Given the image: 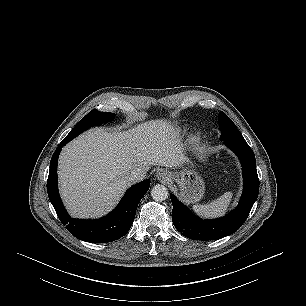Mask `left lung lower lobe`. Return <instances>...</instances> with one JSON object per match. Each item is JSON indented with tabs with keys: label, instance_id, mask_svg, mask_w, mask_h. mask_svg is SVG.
<instances>
[{
	"label": "left lung lower lobe",
	"instance_id": "left-lung-lower-lobe-1",
	"mask_svg": "<svg viewBox=\"0 0 306 306\" xmlns=\"http://www.w3.org/2000/svg\"><path fill=\"white\" fill-rule=\"evenodd\" d=\"M226 145L238 156L243 169V193L232 212L215 220H202L170 194L172 221L176 229L194 240H217L233 234L245 222L258 197L259 179L254 153L245 140H227Z\"/></svg>",
	"mask_w": 306,
	"mask_h": 306
}]
</instances>
